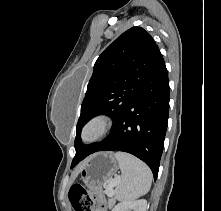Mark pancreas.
I'll list each match as a JSON object with an SVG mask.
<instances>
[{
    "mask_svg": "<svg viewBox=\"0 0 221 211\" xmlns=\"http://www.w3.org/2000/svg\"><path fill=\"white\" fill-rule=\"evenodd\" d=\"M105 193L107 194L106 191H105ZM111 195L113 196V192H112ZM114 204H115V199L114 198H110L109 201H108V207L111 208Z\"/></svg>",
    "mask_w": 221,
    "mask_h": 211,
    "instance_id": "1",
    "label": "pancreas"
}]
</instances>
